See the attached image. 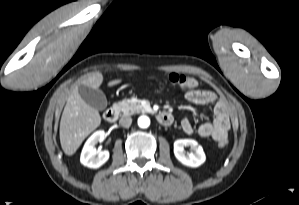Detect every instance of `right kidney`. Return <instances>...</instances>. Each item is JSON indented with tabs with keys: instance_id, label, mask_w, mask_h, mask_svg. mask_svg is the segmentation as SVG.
Instances as JSON below:
<instances>
[{
	"instance_id": "obj_1",
	"label": "right kidney",
	"mask_w": 299,
	"mask_h": 205,
	"mask_svg": "<svg viewBox=\"0 0 299 205\" xmlns=\"http://www.w3.org/2000/svg\"><path fill=\"white\" fill-rule=\"evenodd\" d=\"M105 137V132L103 130H98L88 138L80 156V162L84 166L97 169L109 159V152L107 150H96L97 143L102 142Z\"/></svg>"
}]
</instances>
